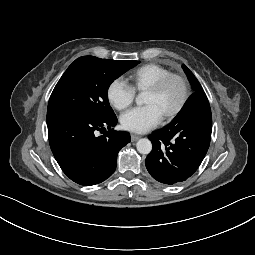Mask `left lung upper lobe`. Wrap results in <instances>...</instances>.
I'll use <instances>...</instances> for the list:
<instances>
[{
	"label": "left lung upper lobe",
	"instance_id": "5c2ea615",
	"mask_svg": "<svg viewBox=\"0 0 255 255\" xmlns=\"http://www.w3.org/2000/svg\"><path fill=\"white\" fill-rule=\"evenodd\" d=\"M182 68L191 83L193 92L202 91V87H201L200 83L198 82V80L196 79V77L194 76V74L184 64L182 65Z\"/></svg>",
	"mask_w": 255,
	"mask_h": 255
}]
</instances>
